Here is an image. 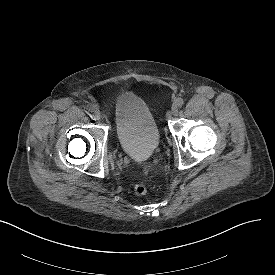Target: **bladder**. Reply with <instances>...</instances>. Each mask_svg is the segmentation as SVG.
<instances>
[{
  "instance_id": "31cf9c89",
  "label": "bladder",
  "mask_w": 275,
  "mask_h": 275,
  "mask_svg": "<svg viewBox=\"0 0 275 275\" xmlns=\"http://www.w3.org/2000/svg\"><path fill=\"white\" fill-rule=\"evenodd\" d=\"M115 133L121 150L135 160L148 159L159 147L160 132L146 102L123 92L114 105Z\"/></svg>"
}]
</instances>
